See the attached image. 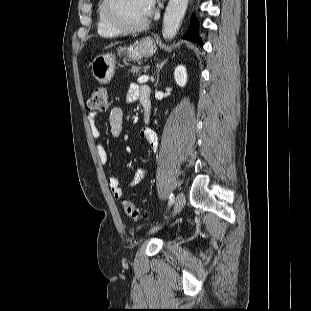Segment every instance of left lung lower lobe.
I'll return each instance as SVG.
<instances>
[{
  "mask_svg": "<svg viewBox=\"0 0 311 311\" xmlns=\"http://www.w3.org/2000/svg\"><path fill=\"white\" fill-rule=\"evenodd\" d=\"M184 39L191 40V41H195V42H197V43H199V44H202V43H201V39H200V37L198 36L196 24H195L194 21H193L192 24L190 25V28L188 29V31L186 32V34L184 35Z\"/></svg>",
  "mask_w": 311,
  "mask_h": 311,
  "instance_id": "1",
  "label": "left lung lower lobe"
}]
</instances>
